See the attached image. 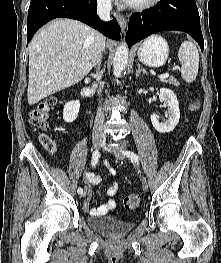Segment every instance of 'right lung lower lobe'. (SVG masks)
Masks as SVG:
<instances>
[{
	"instance_id": "right-lung-lower-lobe-1",
	"label": "right lung lower lobe",
	"mask_w": 221,
	"mask_h": 263,
	"mask_svg": "<svg viewBox=\"0 0 221 263\" xmlns=\"http://www.w3.org/2000/svg\"><path fill=\"white\" fill-rule=\"evenodd\" d=\"M96 0H31L27 20V44L36 31L58 17L79 20L100 31L108 38L120 39V26L115 18L110 22L99 19Z\"/></svg>"
}]
</instances>
